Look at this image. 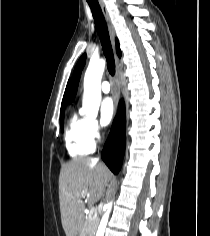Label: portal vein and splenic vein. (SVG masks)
<instances>
[{
	"mask_svg": "<svg viewBox=\"0 0 210 236\" xmlns=\"http://www.w3.org/2000/svg\"><path fill=\"white\" fill-rule=\"evenodd\" d=\"M96 213H97V211H96L95 207H91V209H90V215L92 216V215H94V214H96Z\"/></svg>",
	"mask_w": 210,
	"mask_h": 236,
	"instance_id": "obj_1",
	"label": "portal vein and splenic vein"
}]
</instances>
